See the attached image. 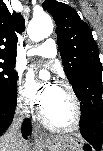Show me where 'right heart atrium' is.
<instances>
[{
    "instance_id": "1",
    "label": "right heart atrium",
    "mask_w": 103,
    "mask_h": 151,
    "mask_svg": "<svg viewBox=\"0 0 103 151\" xmlns=\"http://www.w3.org/2000/svg\"><path fill=\"white\" fill-rule=\"evenodd\" d=\"M17 105L23 111H28L30 109L31 103L26 96L25 91L19 85L17 90Z\"/></svg>"
}]
</instances>
